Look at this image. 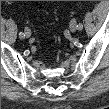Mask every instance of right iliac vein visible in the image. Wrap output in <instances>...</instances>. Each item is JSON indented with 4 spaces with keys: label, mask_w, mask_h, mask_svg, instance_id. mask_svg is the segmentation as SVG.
Segmentation results:
<instances>
[{
    "label": "right iliac vein",
    "mask_w": 109,
    "mask_h": 109,
    "mask_svg": "<svg viewBox=\"0 0 109 109\" xmlns=\"http://www.w3.org/2000/svg\"><path fill=\"white\" fill-rule=\"evenodd\" d=\"M24 37L29 38L31 36V31L29 28H25Z\"/></svg>",
    "instance_id": "right-iliac-vein-1"
}]
</instances>
